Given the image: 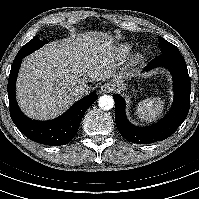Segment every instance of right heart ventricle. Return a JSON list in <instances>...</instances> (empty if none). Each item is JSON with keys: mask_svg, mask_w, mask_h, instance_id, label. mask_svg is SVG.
Instances as JSON below:
<instances>
[{"mask_svg": "<svg viewBox=\"0 0 199 199\" xmlns=\"http://www.w3.org/2000/svg\"><path fill=\"white\" fill-rule=\"evenodd\" d=\"M130 46L127 44H122L117 48V52L120 56H125L130 52Z\"/></svg>", "mask_w": 199, "mask_h": 199, "instance_id": "obj_1", "label": "right heart ventricle"}]
</instances>
